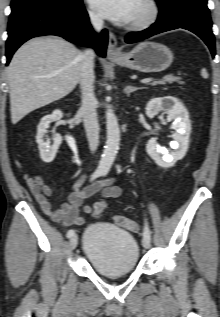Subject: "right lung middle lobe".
I'll return each mask as SVG.
<instances>
[{"instance_id": "dd1d6c3e", "label": "right lung middle lobe", "mask_w": 220, "mask_h": 317, "mask_svg": "<svg viewBox=\"0 0 220 317\" xmlns=\"http://www.w3.org/2000/svg\"><path fill=\"white\" fill-rule=\"evenodd\" d=\"M82 0H12V12L33 6H54L72 9L80 5Z\"/></svg>"}]
</instances>
